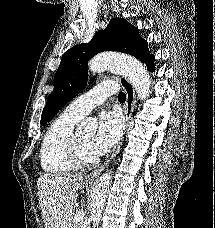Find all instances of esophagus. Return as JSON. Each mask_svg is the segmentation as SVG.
<instances>
[{
	"mask_svg": "<svg viewBox=\"0 0 215 228\" xmlns=\"http://www.w3.org/2000/svg\"><path fill=\"white\" fill-rule=\"evenodd\" d=\"M119 83H120L121 87L123 88V90L126 93V104H125V109H124V115H125V118H126V121H127V127H129L130 123H131L132 114H133V111H134V106H135V90H134V87H133L132 83L125 77H121L119 79ZM125 133H126V131H125ZM122 144H123V140L120 141L116 151L109 158V160H107L106 163H104V165L101 166V168H99L98 170H95L94 172L91 173V177L97 178L100 175V173L103 170H105V168L108 165H110V163L113 161L115 156L121 150Z\"/></svg>",
	"mask_w": 215,
	"mask_h": 228,
	"instance_id": "esophagus-1",
	"label": "esophagus"
}]
</instances>
